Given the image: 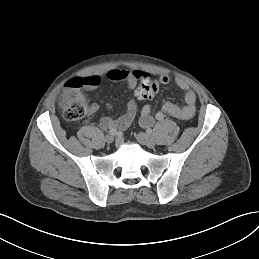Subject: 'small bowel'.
I'll return each mask as SVG.
<instances>
[{"instance_id":"c3829d8e","label":"small bowel","mask_w":259,"mask_h":259,"mask_svg":"<svg viewBox=\"0 0 259 259\" xmlns=\"http://www.w3.org/2000/svg\"><path fill=\"white\" fill-rule=\"evenodd\" d=\"M107 79L113 82L125 83L130 89H135L138 83L143 81H150L157 87L170 82V77L168 75H161L158 79L151 80L150 76L143 71L120 69H112L108 71ZM84 80V87L87 90H93L101 83V79L97 76H88L85 77ZM175 83L184 92L185 105L179 106L172 102H165L162 105V111L178 120H189L196 114V94L185 81L176 79ZM98 110V104H91L88 108V114L92 115ZM136 113L137 105L133 100H131L127 103L126 110L123 115L118 118L104 117L100 121V127L102 129L114 128L125 130L134 120ZM152 122L153 117L151 114V108L150 106L145 105L141 110L140 123L142 126L148 127Z\"/></svg>"}]
</instances>
